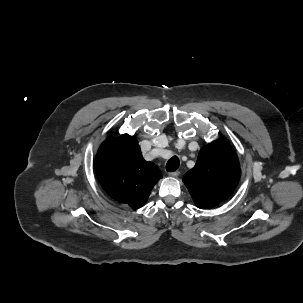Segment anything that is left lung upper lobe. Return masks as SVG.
Segmentation results:
<instances>
[{
    "label": "left lung upper lobe",
    "mask_w": 303,
    "mask_h": 303,
    "mask_svg": "<svg viewBox=\"0 0 303 303\" xmlns=\"http://www.w3.org/2000/svg\"><path fill=\"white\" fill-rule=\"evenodd\" d=\"M238 158L231 145L214 141L201 149L196 165L183 182L196 206L212 208L230 196L240 179Z\"/></svg>",
    "instance_id": "1"
}]
</instances>
